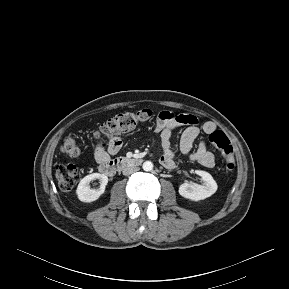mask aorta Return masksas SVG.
<instances>
[{"mask_svg":"<svg viewBox=\"0 0 289 289\" xmlns=\"http://www.w3.org/2000/svg\"><path fill=\"white\" fill-rule=\"evenodd\" d=\"M142 168L144 171H151L153 169V163L151 161H145Z\"/></svg>","mask_w":289,"mask_h":289,"instance_id":"aorta-1","label":"aorta"}]
</instances>
